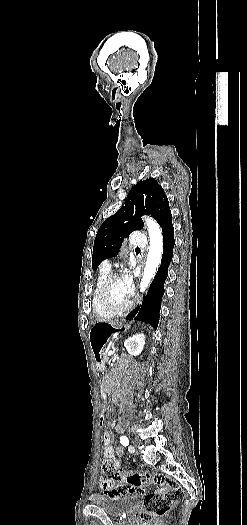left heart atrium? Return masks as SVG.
Returning a JSON list of instances; mask_svg holds the SVG:
<instances>
[{
	"mask_svg": "<svg viewBox=\"0 0 247 525\" xmlns=\"http://www.w3.org/2000/svg\"><path fill=\"white\" fill-rule=\"evenodd\" d=\"M131 288H132V282H131V279L128 278V277H125V278H124V282H123V289H124V291H125L127 294H130V292H131Z\"/></svg>",
	"mask_w": 247,
	"mask_h": 525,
	"instance_id": "obj_1",
	"label": "left heart atrium"
}]
</instances>
